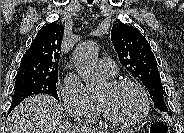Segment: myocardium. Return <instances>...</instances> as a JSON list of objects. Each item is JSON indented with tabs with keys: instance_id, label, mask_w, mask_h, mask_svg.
Here are the masks:
<instances>
[{
	"instance_id": "obj_1",
	"label": "myocardium",
	"mask_w": 184,
	"mask_h": 133,
	"mask_svg": "<svg viewBox=\"0 0 184 133\" xmlns=\"http://www.w3.org/2000/svg\"><path fill=\"white\" fill-rule=\"evenodd\" d=\"M108 84L114 90L121 89L124 87H133L137 89L143 99V110L138 117L133 118V119L118 118L112 115L107 110L103 102L100 99H98L99 109L104 119L108 121L109 123H112L118 126H134L144 121L150 111V98L145 88L137 81L126 80V79L111 81Z\"/></svg>"
}]
</instances>
